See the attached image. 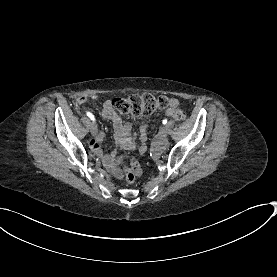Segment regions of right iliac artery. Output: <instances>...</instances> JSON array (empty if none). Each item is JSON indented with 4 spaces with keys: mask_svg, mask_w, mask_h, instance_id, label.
<instances>
[{
    "mask_svg": "<svg viewBox=\"0 0 277 277\" xmlns=\"http://www.w3.org/2000/svg\"><path fill=\"white\" fill-rule=\"evenodd\" d=\"M86 114H87V116H88L91 120H95V118H94V116H93L92 113L87 112Z\"/></svg>",
    "mask_w": 277,
    "mask_h": 277,
    "instance_id": "right-iliac-artery-1",
    "label": "right iliac artery"
}]
</instances>
